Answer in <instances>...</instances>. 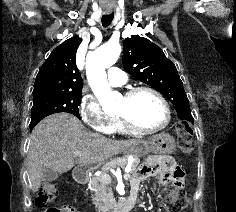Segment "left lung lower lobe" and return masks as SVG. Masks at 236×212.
<instances>
[{
  "mask_svg": "<svg viewBox=\"0 0 236 212\" xmlns=\"http://www.w3.org/2000/svg\"><path fill=\"white\" fill-rule=\"evenodd\" d=\"M180 119L190 121L193 123V117L191 115V112H184L181 115H179Z\"/></svg>",
  "mask_w": 236,
  "mask_h": 212,
  "instance_id": "left-lung-lower-lobe-1",
  "label": "left lung lower lobe"
}]
</instances>
